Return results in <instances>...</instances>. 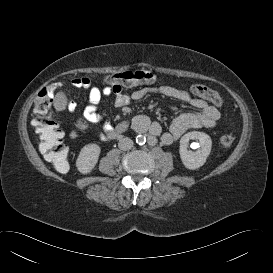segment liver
<instances>
[{
    "mask_svg": "<svg viewBox=\"0 0 273 273\" xmlns=\"http://www.w3.org/2000/svg\"><path fill=\"white\" fill-rule=\"evenodd\" d=\"M67 103H68V99H67L66 95L63 92H58L55 95L53 105H54V108L57 111L65 110V108L67 106Z\"/></svg>",
    "mask_w": 273,
    "mask_h": 273,
    "instance_id": "obj_1",
    "label": "liver"
}]
</instances>
